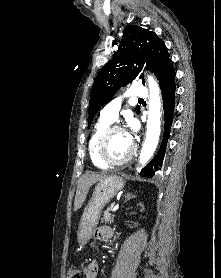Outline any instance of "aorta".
I'll return each instance as SVG.
<instances>
[{"label":"aorta","mask_w":221,"mask_h":278,"mask_svg":"<svg viewBox=\"0 0 221 278\" xmlns=\"http://www.w3.org/2000/svg\"><path fill=\"white\" fill-rule=\"evenodd\" d=\"M150 95H149V109L147 120V132L146 139L141 149L139 162L140 164H146L152 155L154 154L161 128H160V109H161V97L160 88L156 80L152 76L147 77Z\"/></svg>","instance_id":"762f6f07"}]
</instances>
